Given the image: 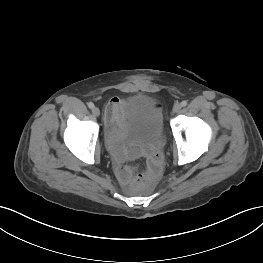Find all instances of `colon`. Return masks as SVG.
Masks as SVG:
<instances>
[{
	"instance_id": "5ec220e1",
	"label": "colon",
	"mask_w": 263,
	"mask_h": 263,
	"mask_svg": "<svg viewBox=\"0 0 263 263\" xmlns=\"http://www.w3.org/2000/svg\"><path fill=\"white\" fill-rule=\"evenodd\" d=\"M161 160L155 159L149 163L145 173L139 175L136 179L138 186H147L157 179L160 173Z\"/></svg>"
}]
</instances>
